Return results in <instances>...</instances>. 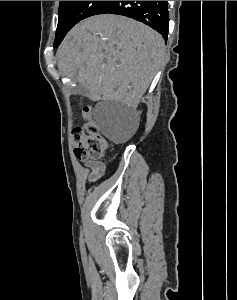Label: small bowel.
Segmentation results:
<instances>
[{
  "label": "small bowel",
  "mask_w": 237,
  "mask_h": 300,
  "mask_svg": "<svg viewBox=\"0 0 237 300\" xmlns=\"http://www.w3.org/2000/svg\"><path fill=\"white\" fill-rule=\"evenodd\" d=\"M84 118L85 115L83 114ZM86 167L89 169V173L87 175L88 182H94L101 178L104 174L105 167L104 164L100 161H87L85 162Z\"/></svg>",
  "instance_id": "1"
}]
</instances>
